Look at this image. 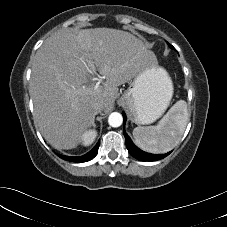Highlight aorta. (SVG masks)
Segmentation results:
<instances>
[{
  "mask_svg": "<svg viewBox=\"0 0 227 227\" xmlns=\"http://www.w3.org/2000/svg\"><path fill=\"white\" fill-rule=\"evenodd\" d=\"M123 122V117L118 112H113L109 115L108 123L112 127H119Z\"/></svg>",
  "mask_w": 227,
  "mask_h": 227,
  "instance_id": "1",
  "label": "aorta"
}]
</instances>
